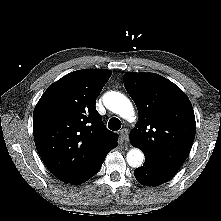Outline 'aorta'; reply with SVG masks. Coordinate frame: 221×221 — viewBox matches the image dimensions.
I'll return each mask as SVG.
<instances>
[{
  "instance_id": "aorta-1",
  "label": "aorta",
  "mask_w": 221,
  "mask_h": 221,
  "mask_svg": "<svg viewBox=\"0 0 221 221\" xmlns=\"http://www.w3.org/2000/svg\"><path fill=\"white\" fill-rule=\"evenodd\" d=\"M103 103L107 109L120 117L130 120L135 116V111L130 100L120 92L109 91L103 96ZM127 163L133 168H138L143 164L144 154L138 148L129 150L126 156Z\"/></svg>"
}]
</instances>
